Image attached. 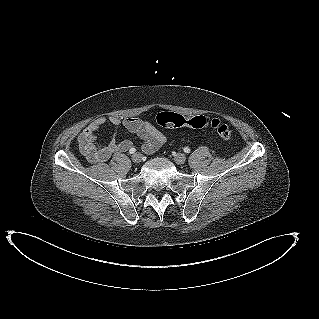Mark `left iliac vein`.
Instances as JSON below:
<instances>
[{
    "mask_svg": "<svg viewBox=\"0 0 319 319\" xmlns=\"http://www.w3.org/2000/svg\"><path fill=\"white\" fill-rule=\"evenodd\" d=\"M174 160L177 164H183L186 161V155L184 153H177L174 156Z\"/></svg>",
    "mask_w": 319,
    "mask_h": 319,
    "instance_id": "obj_1",
    "label": "left iliac vein"
}]
</instances>
